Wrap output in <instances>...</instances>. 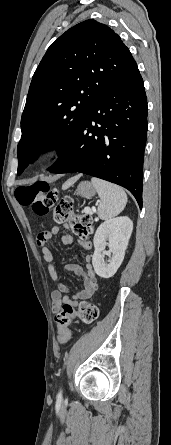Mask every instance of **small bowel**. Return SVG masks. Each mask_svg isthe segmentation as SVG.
<instances>
[{
	"instance_id": "1",
	"label": "small bowel",
	"mask_w": 171,
	"mask_h": 445,
	"mask_svg": "<svg viewBox=\"0 0 171 445\" xmlns=\"http://www.w3.org/2000/svg\"><path fill=\"white\" fill-rule=\"evenodd\" d=\"M59 233L60 227L53 226L50 230L40 233L37 239L38 244L42 247V255L47 264L49 275L57 284V288L51 291L52 310L55 314L59 313L66 307L75 309L78 306L79 301L91 299L98 288L97 278L91 264V256L86 255L85 267L79 264H68L65 267L66 271L73 272L79 276L83 285V289L77 291L72 298L68 295L69 289L62 283L55 269L53 253L47 246H45L47 242H50L54 236ZM61 241L63 244L69 245L74 241V238L72 235L66 234L62 236ZM81 246L84 250H89L91 247L90 244L85 241H81ZM59 332L60 328L58 327V333ZM67 333V340H69L71 337L69 328H67Z\"/></svg>"
}]
</instances>
